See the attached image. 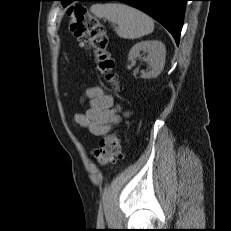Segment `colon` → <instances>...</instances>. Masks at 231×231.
<instances>
[{"label": "colon", "mask_w": 231, "mask_h": 231, "mask_svg": "<svg viewBox=\"0 0 231 231\" xmlns=\"http://www.w3.org/2000/svg\"><path fill=\"white\" fill-rule=\"evenodd\" d=\"M68 14L73 35L92 51L97 68L105 75L106 80L118 87L117 76L113 72L114 60L107 49L108 37L103 25L81 4L72 5ZM94 155L101 165L113 162L120 155L118 134L112 132L103 136Z\"/></svg>", "instance_id": "5ec220e1"}]
</instances>
